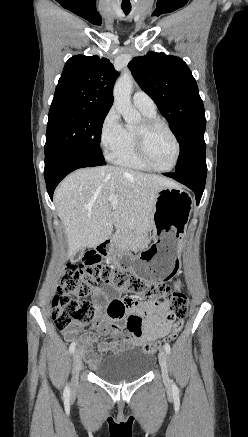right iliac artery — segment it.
Masks as SVG:
<instances>
[{"label": "right iliac artery", "instance_id": "right-iliac-artery-1", "mask_svg": "<svg viewBox=\"0 0 248 437\" xmlns=\"http://www.w3.org/2000/svg\"><path fill=\"white\" fill-rule=\"evenodd\" d=\"M75 346H76V343H75V342H73V343L70 344V347H69V352H70V353L74 352V350H75ZM69 393H70V389H69L68 386H66L65 389H64V395L68 396Z\"/></svg>", "mask_w": 248, "mask_h": 437}]
</instances>
